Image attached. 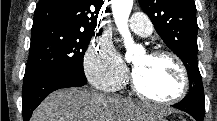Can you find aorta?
Here are the masks:
<instances>
[{
	"mask_svg": "<svg viewBox=\"0 0 217 121\" xmlns=\"http://www.w3.org/2000/svg\"><path fill=\"white\" fill-rule=\"evenodd\" d=\"M133 6V0H112V13L118 31L124 39L127 48L126 58H132L133 54L138 50V46L134 44L128 29V18Z\"/></svg>",
	"mask_w": 217,
	"mask_h": 121,
	"instance_id": "obj_1",
	"label": "aorta"
}]
</instances>
